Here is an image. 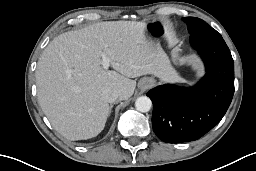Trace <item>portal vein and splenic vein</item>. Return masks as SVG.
Listing matches in <instances>:
<instances>
[{"instance_id": "18ae733b", "label": "portal vein and splenic vein", "mask_w": 256, "mask_h": 171, "mask_svg": "<svg viewBox=\"0 0 256 171\" xmlns=\"http://www.w3.org/2000/svg\"><path fill=\"white\" fill-rule=\"evenodd\" d=\"M101 56H102V66H103V68L108 69L110 60L104 54H101Z\"/></svg>"}]
</instances>
